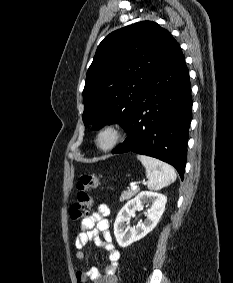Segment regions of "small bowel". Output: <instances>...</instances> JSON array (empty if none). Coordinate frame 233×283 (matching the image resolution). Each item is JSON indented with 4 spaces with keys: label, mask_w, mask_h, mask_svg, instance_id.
<instances>
[{
    "label": "small bowel",
    "mask_w": 233,
    "mask_h": 283,
    "mask_svg": "<svg viewBox=\"0 0 233 283\" xmlns=\"http://www.w3.org/2000/svg\"><path fill=\"white\" fill-rule=\"evenodd\" d=\"M110 210L106 204H100L96 211L88 215L81 222V232L78 234L75 246L78 261L85 259L84 248L89 242L103 247L108 256V263L104 270L91 268L87 272H78L77 283H86L87 279L93 283H118L116 271L120 259V253L113 244L109 231L108 215Z\"/></svg>",
    "instance_id": "1"
}]
</instances>
